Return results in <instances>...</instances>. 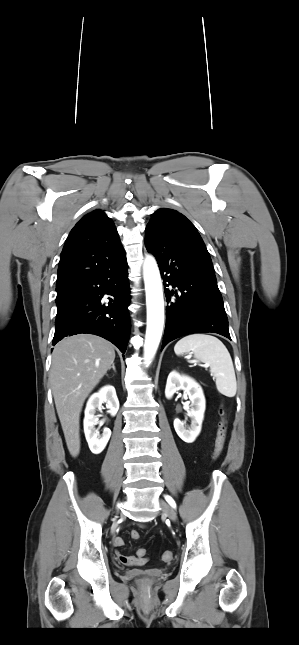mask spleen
<instances>
[{
  "label": "spleen",
  "mask_w": 299,
  "mask_h": 645,
  "mask_svg": "<svg viewBox=\"0 0 299 645\" xmlns=\"http://www.w3.org/2000/svg\"><path fill=\"white\" fill-rule=\"evenodd\" d=\"M177 355L192 353L194 357L210 366L217 390L234 397L237 391L233 362L225 345L216 337L207 334H191L180 339L174 346Z\"/></svg>",
  "instance_id": "3e777b00"
}]
</instances>
